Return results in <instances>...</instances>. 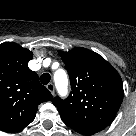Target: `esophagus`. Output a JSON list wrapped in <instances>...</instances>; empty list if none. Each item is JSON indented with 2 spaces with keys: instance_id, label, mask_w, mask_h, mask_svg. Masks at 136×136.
<instances>
[{
  "instance_id": "obj_1",
  "label": "esophagus",
  "mask_w": 136,
  "mask_h": 136,
  "mask_svg": "<svg viewBox=\"0 0 136 136\" xmlns=\"http://www.w3.org/2000/svg\"><path fill=\"white\" fill-rule=\"evenodd\" d=\"M46 87L51 92L52 95L55 94V86L53 83H49Z\"/></svg>"
}]
</instances>
